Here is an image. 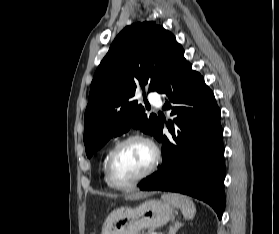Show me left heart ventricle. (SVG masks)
I'll return each instance as SVG.
<instances>
[{"instance_id":"obj_1","label":"left heart ventricle","mask_w":279,"mask_h":234,"mask_svg":"<svg viewBox=\"0 0 279 234\" xmlns=\"http://www.w3.org/2000/svg\"><path fill=\"white\" fill-rule=\"evenodd\" d=\"M152 159L153 153L147 144L130 142L120 149L114 159L113 177L119 183L132 181L148 168Z\"/></svg>"}]
</instances>
